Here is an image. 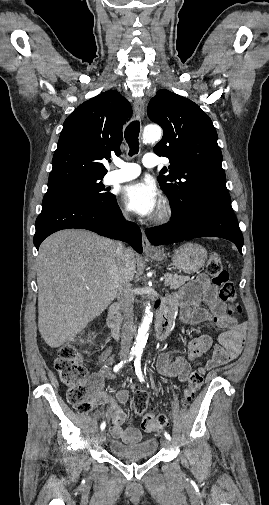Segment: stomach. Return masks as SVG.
I'll return each instance as SVG.
<instances>
[{"instance_id": "1", "label": "stomach", "mask_w": 269, "mask_h": 505, "mask_svg": "<svg viewBox=\"0 0 269 505\" xmlns=\"http://www.w3.org/2000/svg\"><path fill=\"white\" fill-rule=\"evenodd\" d=\"M207 250L196 243H185L174 251L172 260L174 265L184 273L198 272L207 260ZM150 259L155 261H162L166 258L163 251H158L155 254L149 255Z\"/></svg>"}]
</instances>
